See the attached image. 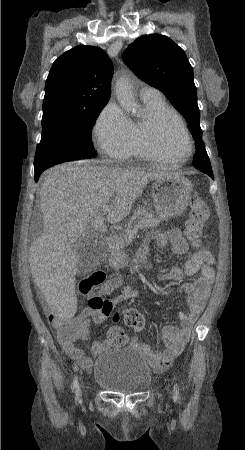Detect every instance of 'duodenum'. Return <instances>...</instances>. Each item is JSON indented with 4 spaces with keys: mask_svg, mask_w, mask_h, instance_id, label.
Returning <instances> with one entry per match:
<instances>
[{
    "mask_svg": "<svg viewBox=\"0 0 245 450\" xmlns=\"http://www.w3.org/2000/svg\"><path fill=\"white\" fill-rule=\"evenodd\" d=\"M106 242L112 253L118 252L122 246V241L118 237L114 236L107 237Z\"/></svg>",
    "mask_w": 245,
    "mask_h": 450,
    "instance_id": "410a0bca",
    "label": "duodenum"
}]
</instances>
